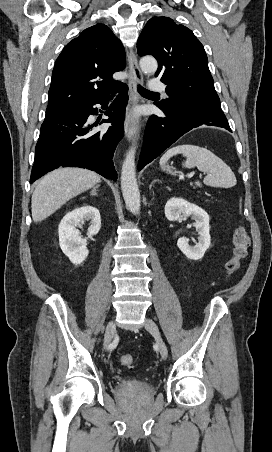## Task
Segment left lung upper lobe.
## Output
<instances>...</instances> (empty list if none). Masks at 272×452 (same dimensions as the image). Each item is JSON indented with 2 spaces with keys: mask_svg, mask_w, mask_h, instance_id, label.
I'll list each match as a JSON object with an SVG mask.
<instances>
[{
  "mask_svg": "<svg viewBox=\"0 0 272 452\" xmlns=\"http://www.w3.org/2000/svg\"><path fill=\"white\" fill-rule=\"evenodd\" d=\"M140 56L152 55L158 61L156 77L167 85L170 106L199 99L220 103L208 68L203 45L193 32L168 17H153L145 25L137 42Z\"/></svg>",
  "mask_w": 272,
  "mask_h": 452,
  "instance_id": "left-lung-upper-lobe-1",
  "label": "left lung upper lobe"
}]
</instances>
